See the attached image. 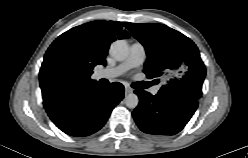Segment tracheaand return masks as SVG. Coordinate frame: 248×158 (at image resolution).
I'll list each match as a JSON object with an SVG mask.
<instances>
[{
    "mask_svg": "<svg viewBox=\"0 0 248 158\" xmlns=\"http://www.w3.org/2000/svg\"><path fill=\"white\" fill-rule=\"evenodd\" d=\"M151 85H152V83H150V82H137L133 85V87L136 89H145Z\"/></svg>",
    "mask_w": 248,
    "mask_h": 158,
    "instance_id": "trachea-1",
    "label": "trachea"
}]
</instances>
